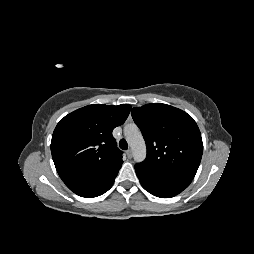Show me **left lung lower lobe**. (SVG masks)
Segmentation results:
<instances>
[{
  "instance_id": "1",
  "label": "left lung lower lobe",
  "mask_w": 254,
  "mask_h": 254,
  "mask_svg": "<svg viewBox=\"0 0 254 254\" xmlns=\"http://www.w3.org/2000/svg\"><path fill=\"white\" fill-rule=\"evenodd\" d=\"M134 168L142 187L160 198H170L179 194L192 181L151 171L140 163L135 164Z\"/></svg>"
}]
</instances>
